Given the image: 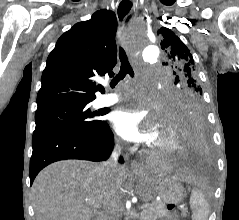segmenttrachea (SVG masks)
<instances>
[{"instance_id": "trachea-1", "label": "trachea", "mask_w": 239, "mask_h": 220, "mask_svg": "<svg viewBox=\"0 0 239 220\" xmlns=\"http://www.w3.org/2000/svg\"><path fill=\"white\" fill-rule=\"evenodd\" d=\"M129 17H128V19H129ZM119 58H120V62H121V67H120L119 73L111 80L110 86L112 88H114L115 85L120 80H122L127 74H129L131 77L134 76V71L128 61L127 55H126L124 49L121 47L119 48Z\"/></svg>"}]
</instances>
